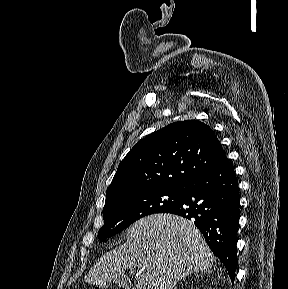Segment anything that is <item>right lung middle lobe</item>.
Segmentation results:
<instances>
[{
  "instance_id": "obj_1",
  "label": "right lung middle lobe",
  "mask_w": 288,
  "mask_h": 289,
  "mask_svg": "<svg viewBox=\"0 0 288 289\" xmlns=\"http://www.w3.org/2000/svg\"><path fill=\"white\" fill-rule=\"evenodd\" d=\"M184 188H152L125 191L106 197L104 225L98 236L102 241L154 213H166L182 199Z\"/></svg>"
}]
</instances>
